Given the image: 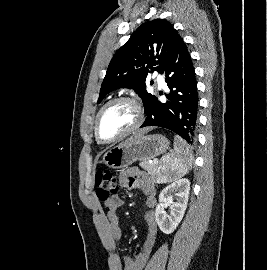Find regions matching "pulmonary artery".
Listing matches in <instances>:
<instances>
[{
  "label": "pulmonary artery",
  "mask_w": 267,
  "mask_h": 270,
  "mask_svg": "<svg viewBox=\"0 0 267 270\" xmlns=\"http://www.w3.org/2000/svg\"><path fill=\"white\" fill-rule=\"evenodd\" d=\"M156 78H157L158 86L160 88L165 87L166 84H165V80H164L163 76L156 74Z\"/></svg>",
  "instance_id": "1"
}]
</instances>
